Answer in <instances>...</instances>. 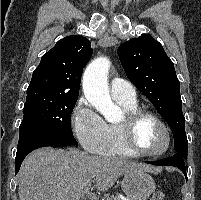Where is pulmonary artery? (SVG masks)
Segmentation results:
<instances>
[{
  "label": "pulmonary artery",
  "instance_id": "obj_1",
  "mask_svg": "<svg viewBox=\"0 0 201 200\" xmlns=\"http://www.w3.org/2000/svg\"><path fill=\"white\" fill-rule=\"evenodd\" d=\"M110 92L114 99H122L127 101L136 100V91L134 87L127 81L115 77L110 82Z\"/></svg>",
  "mask_w": 201,
  "mask_h": 200
}]
</instances>
